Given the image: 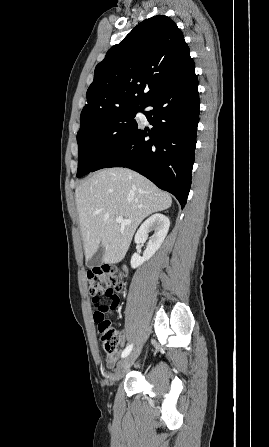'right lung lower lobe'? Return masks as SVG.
<instances>
[{
	"label": "right lung lower lobe",
	"mask_w": 269,
	"mask_h": 447,
	"mask_svg": "<svg viewBox=\"0 0 269 447\" xmlns=\"http://www.w3.org/2000/svg\"><path fill=\"white\" fill-rule=\"evenodd\" d=\"M192 61L172 82L149 96L144 111L153 128L137 129L109 152L91 171L127 167L187 202L199 121L198 80Z\"/></svg>",
	"instance_id": "obj_1"
}]
</instances>
